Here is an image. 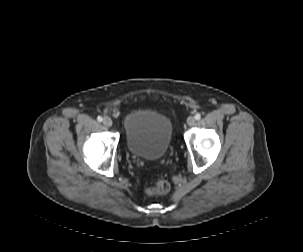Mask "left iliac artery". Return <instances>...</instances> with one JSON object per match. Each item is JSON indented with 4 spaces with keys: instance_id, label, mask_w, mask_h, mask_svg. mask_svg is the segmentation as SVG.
<instances>
[{
    "instance_id": "1",
    "label": "left iliac artery",
    "mask_w": 303,
    "mask_h": 252,
    "mask_svg": "<svg viewBox=\"0 0 303 252\" xmlns=\"http://www.w3.org/2000/svg\"><path fill=\"white\" fill-rule=\"evenodd\" d=\"M200 118H201V114H200V113H196V114H195V119H196V120H199Z\"/></svg>"
}]
</instances>
